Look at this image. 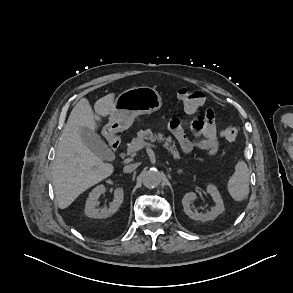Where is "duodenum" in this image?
<instances>
[{
  "label": "duodenum",
  "instance_id": "410a0bca",
  "mask_svg": "<svg viewBox=\"0 0 293 293\" xmlns=\"http://www.w3.org/2000/svg\"><path fill=\"white\" fill-rule=\"evenodd\" d=\"M121 146V142L118 139H112L110 142V148L112 152H117Z\"/></svg>",
  "mask_w": 293,
  "mask_h": 293
}]
</instances>
